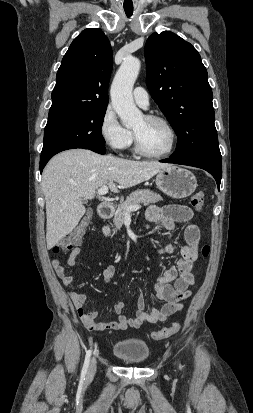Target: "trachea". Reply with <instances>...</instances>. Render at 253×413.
<instances>
[{
	"instance_id": "trachea-1",
	"label": "trachea",
	"mask_w": 253,
	"mask_h": 413,
	"mask_svg": "<svg viewBox=\"0 0 253 413\" xmlns=\"http://www.w3.org/2000/svg\"><path fill=\"white\" fill-rule=\"evenodd\" d=\"M125 13H126L127 17H130V16H132V14H133V10H127V9H125Z\"/></svg>"
}]
</instances>
